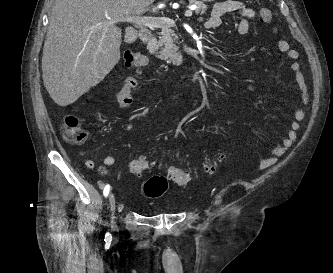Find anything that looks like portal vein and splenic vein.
<instances>
[{
	"instance_id": "portal-vein-and-splenic-vein-1",
	"label": "portal vein and splenic vein",
	"mask_w": 333,
	"mask_h": 273,
	"mask_svg": "<svg viewBox=\"0 0 333 273\" xmlns=\"http://www.w3.org/2000/svg\"><path fill=\"white\" fill-rule=\"evenodd\" d=\"M197 7H191L189 10L185 11V16H192V10ZM124 22L133 23L136 25H141L149 28H167L174 25V20L167 17H147V16H134L127 15L122 19Z\"/></svg>"
}]
</instances>
